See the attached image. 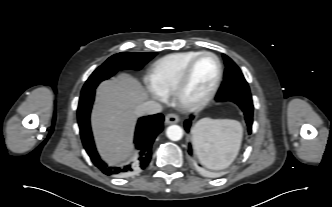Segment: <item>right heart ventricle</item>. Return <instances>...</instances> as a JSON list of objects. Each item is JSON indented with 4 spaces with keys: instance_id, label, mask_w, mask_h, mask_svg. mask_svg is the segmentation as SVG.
<instances>
[{
    "instance_id": "e07e8e85",
    "label": "right heart ventricle",
    "mask_w": 332,
    "mask_h": 207,
    "mask_svg": "<svg viewBox=\"0 0 332 207\" xmlns=\"http://www.w3.org/2000/svg\"><path fill=\"white\" fill-rule=\"evenodd\" d=\"M200 53V51L179 52L158 59L150 69L149 83L163 96L173 93L187 64Z\"/></svg>"
}]
</instances>
